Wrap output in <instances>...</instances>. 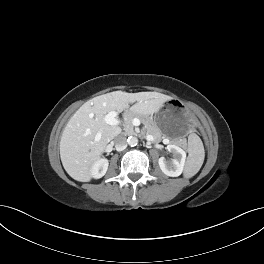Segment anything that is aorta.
<instances>
[{
  "instance_id": "762f6f07",
  "label": "aorta",
  "mask_w": 264,
  "mask_h": 264,
  "mask_svg": "<svg viewBox=\"0 0 264 264\" xmlns=\"http://www.w3.org/2000/svg\"><path fill=\"white\" fill-rule=\"evenodd\" d=\"M128 145L131 147L136 146L138 144V139L135 136H129L127 139Z\"/></svg>"
}]
</instances>
